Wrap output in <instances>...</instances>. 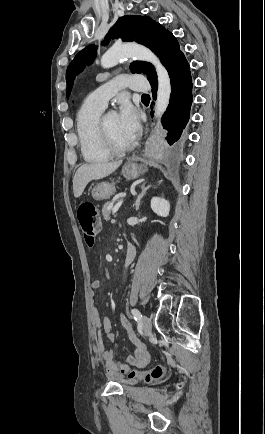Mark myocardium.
I'll return each mask as SVG.
<instances>
[{
	"instance_id": "f54148a6",
	"label": "myocardium",
	"mask_w": 265,
	"mask_h": 434,
	"mask_svg": "<svg viewBox=\"0 0 265 434\" xmlns=\"http://www.w3.org/2000/svg\"><path fill=\"white\" fill-rule=\"evenodd\" d=\"M101 130L103 135L104 146L106 150L110 153V155L114 156H122L129 152H131L135 148V144L132 143L127 147H120L114 144L109 127L106 122V116L101 119Z\"/></svg>"
}]
</instances>
